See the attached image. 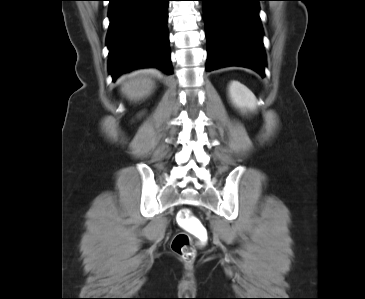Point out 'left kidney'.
<instances>
[{
  "instance_id": "left-kidney-1",
  "label": "left kidney",
  "mask_w": 365,
  "mask_h": 299,
  "mask_svg": "<svg viewBox=\"0 0 365 299\" xmlns=\"http://www.w3.org/2000/svg\"><path fill=\"white\" fill-rule=\"evenodd\" d=\"M229 97L233 105L243 111H253L257 107V100L254 94L238 81L230 83Z\"/></svg>"
}]
</instances>
